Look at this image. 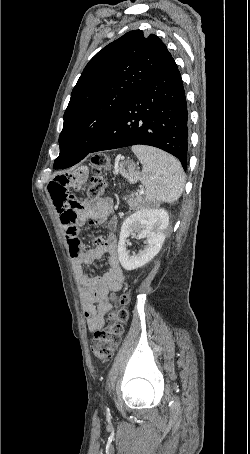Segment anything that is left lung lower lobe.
<instances>
[{
	"instance_id": "obj_1",
	"label": "left lung lower lobe",
	"mask_w": 250,
	"mask_h": 454,
	"mask_svg": "<svg viewBox=\"0 0 250 454\" xmlns=\"http://www.w3.org/2000/svg\"><path fill=\"white\" fill-rule=\"evenodd\" d=\"M137 144L154 146L174 155L186 171L187 103L173 58L124 105L89 153ZM87 155L63 154L55 160L54 168L71 167Z\"/></svg>"
}]
</instances>
